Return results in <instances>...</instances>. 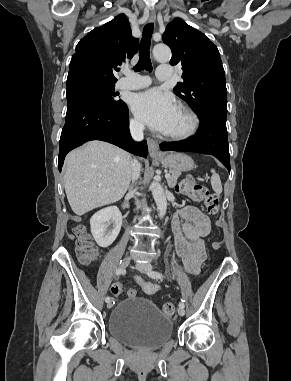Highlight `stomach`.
Masks as SVG:
<instances>
[{
	"instance_id": "0dacf381",
	"label": "stomach",
	"mask_w": 291,
	"mask_h": 381,
	"mask_svg": "<svg viewBox=\"0 0 291 381\" xmlns=\"http://www.w3.org/2000/svg\"><path fill=\"white\" fill-rule=\"evenodd\" d=\"M156 158L171 170L189 171L195 165L193 159L184 153H167Z\"/></svg>"
}]
</instances>
